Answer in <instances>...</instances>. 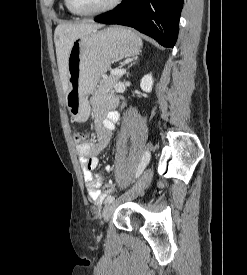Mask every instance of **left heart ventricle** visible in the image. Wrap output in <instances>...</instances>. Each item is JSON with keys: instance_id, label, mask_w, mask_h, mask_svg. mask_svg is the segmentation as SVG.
<instances>
[{"instance_id": "1", "label": "left heart ventricle", "mask_w": 247, "mask_h": 275, "mask_svg": "<svg viewBox=\"0 0 247 275\" xmlns=\"http://www.w3.org/2000/svg\"><path fill=\"white\" fill-rule=\"evenodd\" d=\"M111 0H70L72 6L80 11H92L103 7Z\"/></svg>"}]
</instances>
